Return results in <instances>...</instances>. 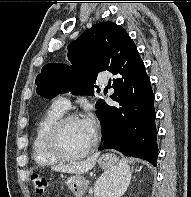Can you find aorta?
I'll list each match as a JSON object with an SVG mask.
<instances>
[{
  "label": "aorta",
  "mask_w": 191,
  "mask_h": 197,
  "mask_svg": "<svg viewBox=\"0 0 191 197\" xmlns=\"http://www.w3.org/2000/svg\"><path fill=\"white\" fill-rule=\"evenodd\" d=\"M104 182H105V177L101 178L97 183L98 190L96 191V194L99 195V196H102V195L105 196L106 195L105 193L101 192V189H102V186H103Z\"/></svg>",
  "instance_id": "762f6f07"
}]
</instances>
